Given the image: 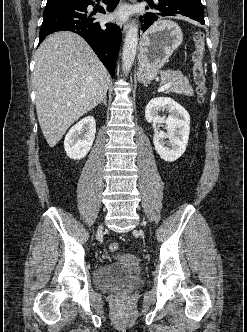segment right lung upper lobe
<instances>
[{"mask_svg": "<svg viewBox=\"0 0 247 332\" xmlns=\"http://www.w3.org/2000/svg\"><path fill=\"white\" fill-rule=\"evenodd\" d=\"M51 1H55V0H47V2H51Z\"/></svg>", "mask_w": 247, "mask_h": 332, "instance_id": "1", "label": "right lung upper lobe"}]
</instances>
